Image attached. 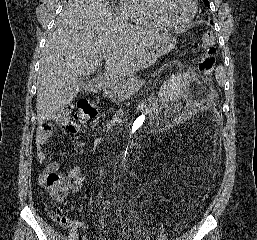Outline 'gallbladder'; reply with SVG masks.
<instances>
[{
    "instance_id": "obj_1",
    "label": "gallbladder",
    "mask_w": 257,
    "mask_h": 240,
    "mask_svg": "<svg viewBox=\"0 0 257 240\" xmlns=\"http://www.w3.org/2000/svg\"><path fill=\"white\" fill-rule=\"evenodd\" d=\"M78 82H79V91L80 92L85 91L87 89L89 81L85 78H80Z\"/></svg>"
}]
</instances>
